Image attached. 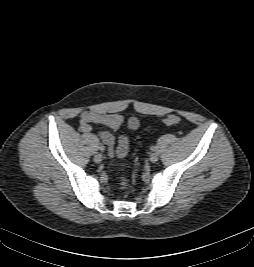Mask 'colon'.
Here are the masks:
<instances>
[{
  "instance_id": "1",
  "label": "colon",
  "mask_w": 254,
  "mask_h": 267,
  "mask_svg": "<svg viewBox=\"0 0 254 267\" xmlns=\"http://www.w3.org/2000/svg\"><path fill=\"white\" fill-rule=\"evenodd\" d=\"M179 122V117L176 115H169L164 119V124L166 126H174ZM121 186L122 188H128L129 187V180L126 177H123L121 179Z\"/></svg>"
}]
</instances>
